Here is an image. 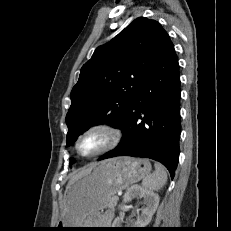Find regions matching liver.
<instances>
[{
	"label": "liver",
	"instance_id": "obj_1",
	"mask_svg": "<svg viewBox=\"0 0 231 231\" xmlns=\"http://www.w3.org/2000/svg\"><path fill=\"white\" fill-rule=\"evenodd\" d=\"M96 164H91L88 168L86 169H82L81 171H79L78 173L76 174H73L70 181H69V184L72 183L74 180L78 179V178H81L82 176L90 173L92 171V169L95 167ZM68 184V185H69Z\"/></svg>",
	"mask_w": 231,
	"mask_h": 231
}]
</instances>
